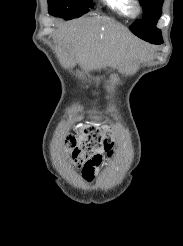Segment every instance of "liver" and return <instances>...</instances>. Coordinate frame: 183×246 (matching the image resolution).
<instances>
[{
    "label": "liver",
    "mask_w": 183,
    "mask_h": 246,
    "mask_svg": "<svg viewBox=\"0 0 183 246\" xmlns=\"http://www.w3.org/2000/svg\"><path fill=\"white\" fill-rule=\"evenodd\" d=\"M74 62L86 71L118 66L139 55L142 45L122 26L101 17H87L59 31Z\"/></svg>",
    "instance_id": "6515ba94"
}]
</instances>
